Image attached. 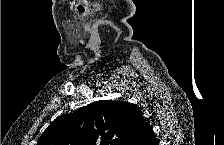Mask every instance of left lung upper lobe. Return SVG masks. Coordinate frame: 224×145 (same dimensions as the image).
Returning a JSON list of instances; mask_svg holds the SVG:
<instances>
[{
	"instance_id": "5c2ea615",
	"label": "left lung upper lobe",
	"mask_w": 224,
	"mask_h": 145,
	"mask_svg": "<svg viewBox=\"0 0 224 145\" xmlns=\"http://www.w3.org/2000/svg\"><path fill=\"white\" fill-rule=\"evenodd\" d=\"M141 117L128 102L96 101L56 119L37 145H129Z\"/></svg>"
}]
</instances>
